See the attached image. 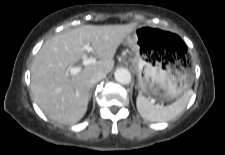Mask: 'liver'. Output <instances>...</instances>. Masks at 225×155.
<instances>
[{"label": "liver", "mask_w": 225, "mask_h": 155, "mask_svg": "<svg viewBox=\"0 0 225 155\" xmlns=\"http://www.w3.org/2000/svg\"><path fill=\"white\" fill-rule=\"evenodd\" d=\"M136 27V23L83 25L47 40L31 67V93L44 114L63 124L80 121L91 98L92 75L113 69L117 48ZM84 44L94 49L99 61L71 75L68 68L87 56Z\"/></svg>", "instance_id": "liver-1"}]
</instances>
